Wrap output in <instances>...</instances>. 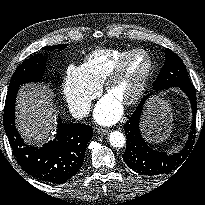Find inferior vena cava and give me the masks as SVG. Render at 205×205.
I'll use <instances>...</instances> for the list:
<instances>
[{"mask_svg": "<svg viewBox=\"0 0 205 205\" xmlns=\"http://www.w3.org/2000/svg\"><path fill=\"white\" fill-rule=\"evenodd\" d=\"M71 114L75 119H82L87 116L90 112V104L89 103H81L75 105L71 108Z\"/></svg>", "mask_w": 205, "mask_h": 205, "instance_id": "inferior-vena-cava-1", "label": "inferior vena cava"}]
</instances>
